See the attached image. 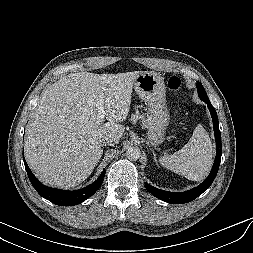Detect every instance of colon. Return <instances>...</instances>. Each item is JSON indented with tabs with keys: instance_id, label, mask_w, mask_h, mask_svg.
Instances as JSON below:
<instances>
[{
	"instance_id": "1",
	"label": "colon",
	"mask_w": 253,
	"mask_h": 253,
	"mask_svg": "<svg viewBox=\"0 0 253 253\" xmlns=\"http://www.w3.org/2000/svg\"><path fill=\"white\" fill-rule=\"evenodd\" d=\"M168 88L173 91V92H177L181 86V80L176 77V76H172L168 79Z\"/></svg>"
}]
</instances>
